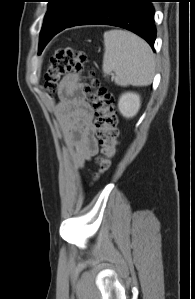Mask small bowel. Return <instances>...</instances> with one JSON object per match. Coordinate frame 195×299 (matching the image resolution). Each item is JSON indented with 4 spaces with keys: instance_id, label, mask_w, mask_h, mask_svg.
Here are the masks:
<instances>
[{
    "instance_id": "1",
    "label": "small bowel",
    "mask_w": 195,
    "mask_h": 299,
    "mask_svg": "<svg viewBox=\"0 0 195 299\" xmlns=\"http://www.w3.org/2000/svg\"><path fill=\"white\" fill-rule=\"evenodd\" d=\"M59 94V113L66 142L75 166L81 168L98 153L94 109L86 100L84 86L77 73L63 78Z\"/></svg>"
}]
</instances>
